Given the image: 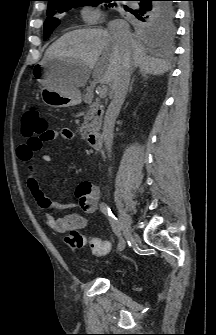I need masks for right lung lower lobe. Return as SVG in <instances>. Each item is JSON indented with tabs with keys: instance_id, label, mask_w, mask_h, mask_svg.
Masks as SVG:
<instances>
[{
	"instance_id": "obj_1",
	"label": "right lung lower lobe",
	"mask_w": 216,
	"mask_h": 335,
	"mask_svg": "<svg viewBox=\"0 0 216 335\" xmlns=\"http://www.w3.org/2000/svg\"><path fill=\"white\" fill-rule=\"evenodd\" d=\"M139 1V7L134 9L138 14V19L144 23L158 19L162 23L173 24L174 11L173 9L161 8L160 4L169 2L168 0H132ZM126 9V6H125Z\"/></svg>"
}]
</instances>
